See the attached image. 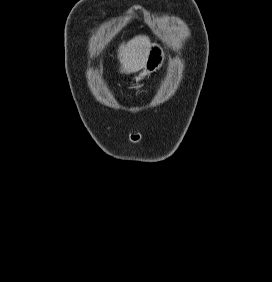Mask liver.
Instances as JSON below:
<instances>
[{
  "instance_id": "obj_1",
  "label": "liver",
  "mask_w": 272,
  "mask_h": 282,
  "mask_svg": "<svg viewBox=\"0 0 272 282\" xmlns=\"http://www.w3.org/2000/svg\"><path fill=\"white\" fill-rule=\"evenodd\" d=\"M150 46L149 37L144 35L135 36L121 44L118 50L121 72L130 74L141 70L147 61Z\"/></svg>"
}]
</instances>
